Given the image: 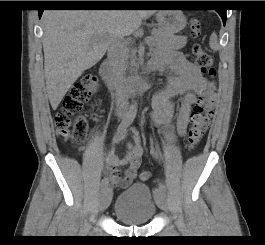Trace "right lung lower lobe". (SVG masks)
I'll return each instance as SVG.
<instances>
[{"label": "right lung lower lobe", "mask_w": 265, "mask_h": 245, "mask_svg": "<svg viewBox=\"0 0 265 245\" xmlns=\"http://www.w3.org/2000/svg\"><path fill=\"white\" fill-rule=\"evenodd\" d=\"M119 1H82L81 3H58L55 6H80V7H118L121 6ZM43 10H39L41 17Z\"/></svg>", "instance_id": "1"}]
</instances>
